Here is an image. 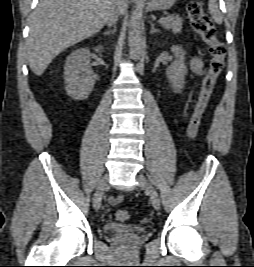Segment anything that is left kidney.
Masks as SVG:
<instances>
[{"mask_svg":"<svg viewBox=\"0 0 254 267\" xmlns=\"http://www.w3.org/2000/svg\"><path fill=\"white\" fill-rule=\"evenodd\" d=\"M171 51L175 57L173 63L167 68L166 75L175 93H180L184 87L187 66L185 64L186 52L182 46L174 45Z\"/></svg>","mask_w":254,"mask_h":267,"instance_id":"obj_1","label":"left kidney"}]
</instances>
